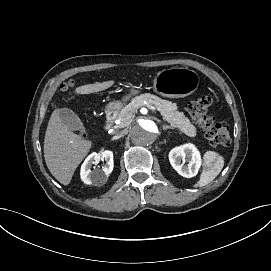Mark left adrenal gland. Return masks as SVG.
Returning <instances> with one entry per match:
<instances>
[{
  "label": "left adrenal gland",
  "mask_w": 271,
  "mask_h": 271,
  "mask_svg": "<svg viewBox=\"0 0 271 271\" xmlns=\"http://www.w3.org/2000/svg\"><path fill=\"white\" fill-rule=\"evenodd\" d=\"M166 129H174L173 126H170V125H163V130H166Z\"/></svg>",
  "instance_id": "left-adrenal-gland-1"
}]
</instances>
